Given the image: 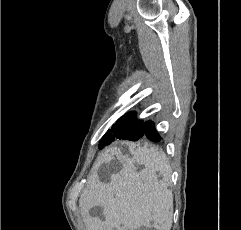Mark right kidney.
Returning a JSON list of instances; mask_svg holds the SVG:
<instances>
[{"label":"right kidney","mask_w":241,"mask_h":230,"mask_svg":"<svg viewBox=\"0 0 241 230\" xmlns=\"http://www.w3.org/2000/svg\"><path fill=\"white\" fill-rule=\"evenodd\" d=\"M168 195L170 196V195H171V193H170V192H168Z\"/></svg>","instance_id":"right-kidney-1"}]
</instances>
